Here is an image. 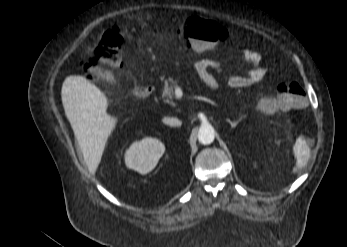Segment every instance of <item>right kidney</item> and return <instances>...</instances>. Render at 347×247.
Wrapping results in <instances>:
<instances>
[{
  "label": "right kidney",
  "instance_id": "1",
  "mask_svg": "<svg viewBox=\"0 0 347 247\" xmlns=\"http://www.w3.org/2000/svg\"><path fill=\"white\" fill-rule=\"evenodd\" d=\"M164 151L165 146L158 139L144 138L129 147L125 154V163L128 168L144 175L156 167Z\"/></svg>",
  "mask_w": 347,
  "mask_h": 247
}]
</instances>
